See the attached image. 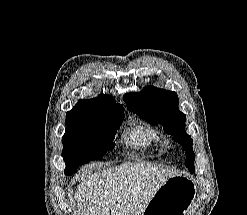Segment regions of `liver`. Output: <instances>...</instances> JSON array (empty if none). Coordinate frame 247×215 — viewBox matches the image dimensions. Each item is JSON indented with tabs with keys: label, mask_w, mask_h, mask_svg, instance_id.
Returning a JSON list of instances; mask_svg holds the SVG:
<instances>
[{
	"label": "liver",
	"mask_w": 247,
	"mask_h": 215,
	"mask_svg": "<svg viewBox=\"0 0 247 215\" xmlns=\"http://www.w3.org/2000/svg\"><path fill=\"white\" fill-rule=\"evenodd\" d=\"M177 171L157 164L127 162L82 180L74 215H140L157 190Z\"/></svg>",
	"instance_id": "1"
}]
</instances>
